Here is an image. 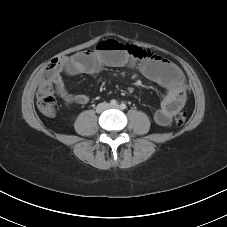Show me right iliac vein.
Returning <instances> with one entry per match:
<instances>
[{
    "label": "right iliac vein",
    "mask_w": 227,
    "mask_h": 227,
    "mask_svg": "<svg viewBox=\"0 0 227 227\" xmlns=\"http://www.w3.org/2000/svg\"><path fill=\"white\" fill-rule=\"evenodd\" d=\"M105 107H106V105H102V106H101L102 109L105 108Z\"/></svg>",
    "instance_id": "63e3f726"
}]
</instances>
